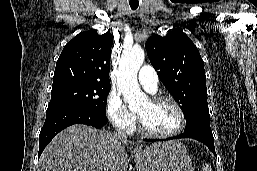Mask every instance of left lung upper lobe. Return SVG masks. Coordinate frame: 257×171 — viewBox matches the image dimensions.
I'll return each mask as SVG.
<instances>
[{"label":"left lung upper lobe","instance_id":"5c2ea615","mask_svg":"<svg viewBox=\"0 0 257 171\" xmlns=\"http://www.w3.org/2000/svg\"><path fill=\"white\" fill-rule=\"evenodd\" d=\"M149 60L185 114V131H211L204 63L197 47L183 32L151 36L145 44Z\"/></svg>","mask_w":257,"mask_h":171}]
</instances>
